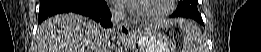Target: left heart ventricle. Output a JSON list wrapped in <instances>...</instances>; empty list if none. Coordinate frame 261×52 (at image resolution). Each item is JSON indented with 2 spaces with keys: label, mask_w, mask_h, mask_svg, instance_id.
Masks as SVG:
<instances>
[{
  "label": "left heart ventricle",
  "mask_w": 261,
  "mask_h": 52,
  "mask_svg": "<svg viewBox=\"0 0 261 52\" xmlns=\"http://www.w3.org/2000/svg\"><path fill=\"white\" fill-rule=\"evenodd\" d=\"M166 0H149L139 1L137 3L138 9L142 13L152 14L164 8Z\"/></svg>",
  "instance_id": "obj_1"
}]
</instances>
